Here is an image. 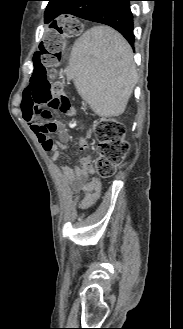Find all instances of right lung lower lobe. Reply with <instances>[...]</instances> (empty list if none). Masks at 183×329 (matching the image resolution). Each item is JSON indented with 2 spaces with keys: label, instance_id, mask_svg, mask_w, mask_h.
<instances>
[{
  "label": "right lung lower lobe",
  "instance_id": "98d812e1",
  "mask_svg": "<svg viewBox=\"0 0 183 329\" xmlns=\"http://www.w3.org/2000/svg\"><path fill=\"white\" fill-rule=\"evenodd\" d=\"M132 0H59L49 8L60 14L107 24L118 30L133 47V15L129 2Z\"/></svg>",
  "mask_w": 183,
  "mask_h": 329
}]
</instances>
